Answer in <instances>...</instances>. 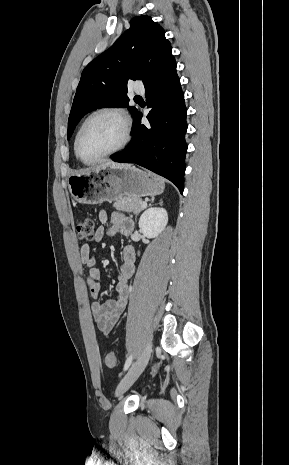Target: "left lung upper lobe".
<instances>
[{
    "instance_id": "1",
    "label": "left lung upper lobe",
    "mask_w": 289,
    "mask_h": 465,
    "mask_svg": "<svg viewBox=\"0 0 289 465\" xmlns=\"http://www.w3.org/2000/svg\"><path fill=\"white\" fill-rule=\"evenodd\" d=\"M176 69L163 28L149 16L134 17L130 28L83 70L68 120L69 139L81 117L103 106L128 107V80L147 87ZM135 117L137 109L128 107Z\"/></svg>"
}]
</instances>
